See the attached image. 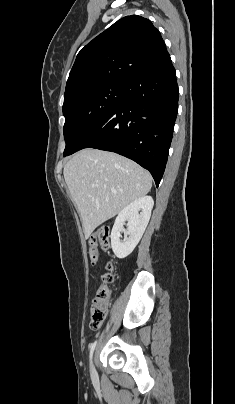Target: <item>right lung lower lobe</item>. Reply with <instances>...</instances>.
<instances>
[{
    "label": "right lung lower lobe",
    "mask_w": 235,
    "mask_h": 404,
    "mask_svg": "<svg viewBox=\"0 0 235 404\" xmlns=\"http://www.w3.org/2000/svg\"><path fill=\"white\" fill-rule=\"evenodd\" d=\"M178 95L176 72L169 56L127 80L120 102L70 154L88 147L118 153L149 170L158 187L172 140Z\"/></svg>",
    "instance_id": "right-lung-lower-lobe-1"
}]
</instances>
